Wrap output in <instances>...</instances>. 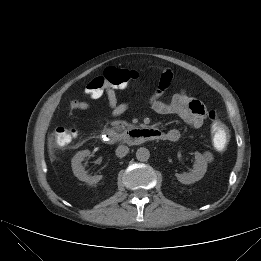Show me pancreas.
<instances>
[{
  "mask_svg": "<svg viewBox=\"0 0 261 261\" xmlns=\"http://www.w3.org/2000/svg\"><path fill=\"white\" fill-rule=\"evenodd\" d=\"M111 125L117 132H123V133L126 132L131 127V124L122 120L113 121Z\"/></svg>",
  "mask_w": 261,
  "mask_h": 261,
  "instance_id": "1",
  "label": "pancreas"
}]
</instances>
